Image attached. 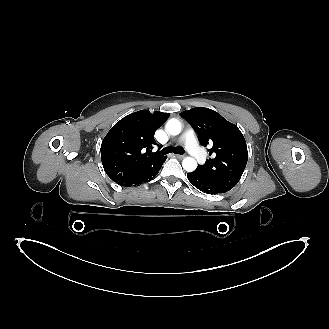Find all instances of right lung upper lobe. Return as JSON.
Instances as JSON below:
<instances>
[{"label":"right lung upper lobe","mask_w":329,"mask_h":329,"mask_svg":"<svg viewBox=\"0 0 329 329\" xmlns=\"http://www.w3.org/2000/svg\"><path fill=\"white\" fill-rule=\"evenodd\" d=\"M168 117V113L140 110L111 128L101 144L102 164L110 179L120 185L127 184L166 158L152 153L151 149L157 144L155 131Z\"/></svg>","instance_id":"right-lung-upper-lobe-1"}]
</instances>
